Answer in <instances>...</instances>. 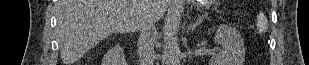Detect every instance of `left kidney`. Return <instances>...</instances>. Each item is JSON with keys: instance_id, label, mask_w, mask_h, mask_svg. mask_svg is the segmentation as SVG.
Returning <instances> with one entry per match:
<instances>
[{"instance_id": "5707ae66", "label": "left kidney", "mask_w": 309, "mask_h": 65, "mask_svg": "<svg viewBox=\"0 0 309 65\" xmlns=\"http://www.w3.org/2000/svg\"><path fill=\"white\" fill-rule=\"evenodd\" d=\"M211 31L215 32V42L221 45L222 49L211 58L210 65H243L245 48L239 31L227 25L214 27Z\"/></svg>"}]
</instances>
